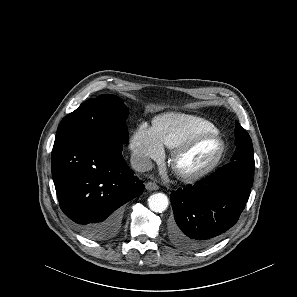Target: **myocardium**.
I'll return each instance as SVG.
<instances>
[{"label":"myocardium","instance_id":"1","mask_svg":"<svg viewBox=\"0 0 297 297\" xmlns=\"http://www.w3.org/2000/svg\"><path fill=\"white\" fill-rule=\"evenodd\" d=\"M207 138H213L217 142L218 147L214 156L204 166L196 170L186 171L181 169L179 166L180 159L192 148H194L200 141ZM224 152L225 143L221 135L216 130L204 131L191 136L183 143L178 145L176 148H174L170 156V164L178 178L187 182L195 181L211 172L222 160Z\"/></svg>","mask_w":297,"mask_h":297}]
</instances>
